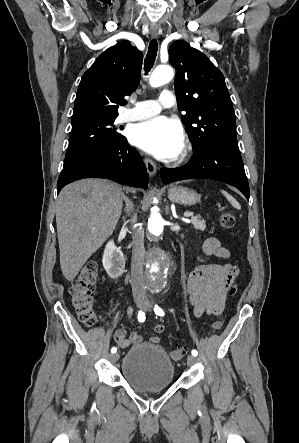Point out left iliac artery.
Instances as JSON below:
<instances>
[{
  "instance_id": "left-iliac-artery-1",
  "label": "left iliac artery",
  "mask_w": 299,
  "mask_h": 443,
  "mask_svg": "<svg viewBox=\"0 0 299 443\" xmlns=\"http://www.w3.org/2000/svg\"><path fill=\"white\" fill-rule=\"evenodd\" d=\"M154 312H155L157 315H159V316H164V315H165L164 311H163L158 305H155V306H154ZM191 353H192V355H193L194 357H196V356L198 355V352H197V350H195V349H193Z\"/></svg>"
}]
</instances>
